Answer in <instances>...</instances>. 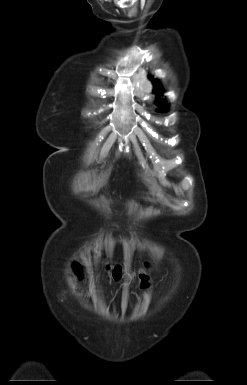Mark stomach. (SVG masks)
Wrapping results in <instances>:
<instances>
[{"label":"stomach","instance_id":"stomach-1","mask_svg":"<svg viewBox=\"0 0 247 385\" xmlns=\"http://www.w3.org/2000/svg\"><path fill=\"white\" fill-rule=\"evenodd\" d=\"M152 197L155 199L157 197H159V193H158V190H154L153 194H152Z\"/></svg>","mask_w":247,"mask_h":385}]
</instances>
